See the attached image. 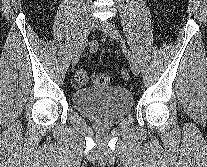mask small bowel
<instances>
[{
  "instance_id": "small-bowel-1",
  "label": "small bowel",
  "mask_w": 207,
  "mask_h": 167,
  "mask_svg": "<svg viewBox=\"0 0 207 167\" xmlns=\"http://www.w3.org/2000/svg\"><path fill=\"white\" fill-rule=\"evenodd\" d=\"M90 50H91V52H96L98 50V44H97V42H92L90 44Z\"/></svg>"
}]
</instances>
